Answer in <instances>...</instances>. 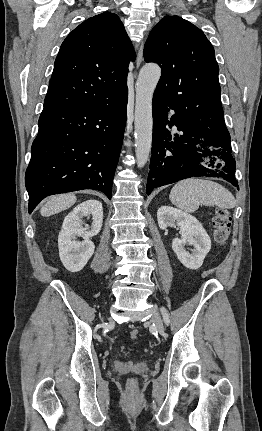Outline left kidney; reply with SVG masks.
<instances>
[{
  "mask_svg": "<svg viewBox=\"0 0 262 431\" xmlns=\"http://www.w3.org/2000/svg\"><path fill=\"white\" fill-rule=\"evenodd\" d=\"M157 219L163 230L175 225L180 227L182 238L173 239L172 249L185 267L198 269L211 249L210 237L202 224L194 216L170 206L160 207ZM185 244L193 246L191 253L184 248Z\"/></svg>",
  "mask_w": 262,
  "mask_h": 431,
  "instance_id": "obj_1",
  "label": "left kidney"
}]
</instances>
